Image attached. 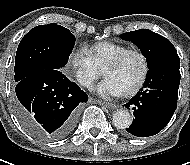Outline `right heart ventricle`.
Returning a JSON list of instances; mask_svg holds the SVG:
<instances>
[{
  "label": "right heart ventricle",
  "mask_w": 190,
  "mask_h": 165,
  "mask_svg": "<svg viewBox=\"0 0 190 165\" xmlns=\"http://www.w3.org/2000/svg\"><path fill=\"white\" fill-rule=\"evenodd\" d=\"M89 53L93 57L95 63L100 69H104L106 64L119 54L128 50L129 47L112 41H101L92 44L88 48Z\"/></svg>",
  "instance_id": "e07e8e85"
}]
</instances>
